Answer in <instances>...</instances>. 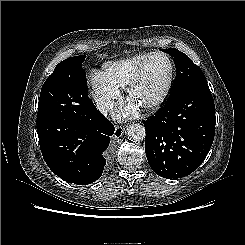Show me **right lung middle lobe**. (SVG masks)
Wrapping results in <instances>:
<instances>
[{
	"label": "right lung middle lobe",
	"mask_w": 245,
	"mask_h": 245,
	"mask_svg": "<svg viewBox=\"0 0 245 245\" xmlns=\"http://www.w3.org/2000/svg\"><path fill=\"white\" fill-rule=\"evenodd\" d=\"M85 55L63 60L44 82L38 118L49 116L84 121L94 104L88 96L86 73L82 68Z\"/></svg>",
	"instance_id": "obj_1"
}]
</instances>
